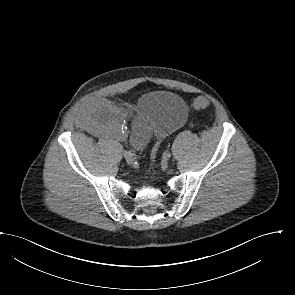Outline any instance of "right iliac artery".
<instances>
[{"mask_svg": "<svg viewBox=\"0 0 295 295\" xmlns=\"http://www.w3.org/2000/svg\"><path fill=\"white\" fill-rule=\"evenodd\" d=\"M124 153H128L129 155H131V156H133V155H135L134 153V150H132V149H130V150H128V151H125Z\"/></svg>", "mask_w": 295, "mask_h": 295, "instance_id": "82829eb1", "label": "right iliac artery"}]
</instances>
